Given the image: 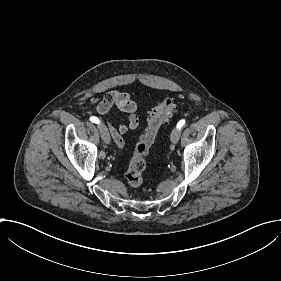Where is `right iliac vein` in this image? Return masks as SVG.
Masks as SVG:
<instances>
[{
  "label": "right iliac vein",
  "instance_id": "1",
  "mask_svg": "<svg viewBox=\"0 0 281 281\" xmlns=\"http://www.w3.org/2000/svg\"><path fill=\"white\" fill-rule=\"evenodd\" d=\"M101 138L103 141H105V145H110V135H109V129L102 124V127H99Z\"/></svg>",
  "mask_w": 281,
  "mask_h": 281
}]
</instances>
